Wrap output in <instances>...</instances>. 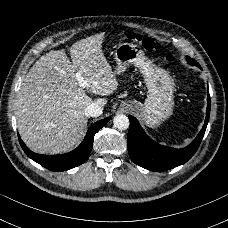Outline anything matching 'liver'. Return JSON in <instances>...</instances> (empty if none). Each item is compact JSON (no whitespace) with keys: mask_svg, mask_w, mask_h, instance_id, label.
I'll return each mask as SVG.
<instances>
[{"mask_svg":"<svg viewBox=\"0 0 228 228\" xmlns=\"http://www.w3.org/2000/svg\"><path fill=\"white\" fill-rule=\"evenodd\" d=\"M103 39L104 33H100L75 42L70 47L72 64L64 50H52L23 79L15 116L21 138L33 152L73 150L85 135L88 119L84 111L93 102L86 91L107 96L117 89L115 74L101 50ZM76 72L89 83L86 90L79 86ZM94 102L103 107L107 101L99 98Z\"/></svg>","mask_w":228,"mask_h":228,"instance_id":"6515ba94","label":"liver"}]
</instances>
